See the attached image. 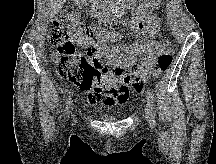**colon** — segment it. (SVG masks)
<instances>
[{
    "instance_id": "colon-1",
    "label": "colon",
    "mask_w": 216,
    "mask_h": 164,
    "mask_svg": "<svg viewBox=\"0 0 216 164\" xmlns=\"http://www.w3.org/2000/svg\"><path fill=\"white\" fill-rule=\"evenodd\" d=\"M79 23L71 19L57 17L51 22V41L56 50L53 60L58 74L83 91L91 92L98 89L102 83V74L106 66L88 57L78 54L73 43L74 35ZM172 54L165 50L150 66L139 68L130 80V85L136 92L144 88V84L151 78L158 77L172 64Z\"/></svg>"
}]
</instances>
